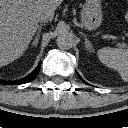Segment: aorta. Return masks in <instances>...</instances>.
<instances>
[{
	"label": "aorta",
	"instance_id": "762f6f07",
	"mask_svg": "<svg viewBox=\"0 0 128 128\" xmlns=\"http://www.w3.org/2000/svg\"><path fill=\"white\" fill-rule=\"evenodd\" d=\"M74 43V37L71 33L68 32H62L57 37V45L60 49L67 50L72 48V45Z\"/></svg>",
	"mask_w": 128,
	"mask_h": 128
}]
</instances>
